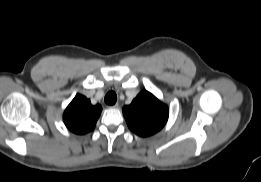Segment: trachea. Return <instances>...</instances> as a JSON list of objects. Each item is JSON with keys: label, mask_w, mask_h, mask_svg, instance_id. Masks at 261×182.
<instances>
[{"label": "trachea", "mask_w": 261, "mask_h": 182, "mask_svg": "<svg viewBox=\"0 0 261 182\" xmlns=\"http://www.w3.org/2000/svg\"><path fill=\"white\" fill-rule=\"evenodd\" d=\"M105 103L108 105H114L117 101V95L114 91H110L105 96Z\"/></svg>", "instance_id": "3493384b"}]
</instances>
